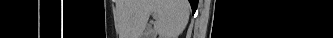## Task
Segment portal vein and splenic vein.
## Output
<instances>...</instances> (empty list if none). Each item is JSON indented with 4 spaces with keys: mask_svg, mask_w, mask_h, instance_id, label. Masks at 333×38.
Segmentation results:
<instances>
[{
    "mask_svg": "<svg viewBox=\"0 0 333 38\" xmlns=\"http://www.w3.org/2000/svg\"><path fill=\"white\" fill-rule=\"evenodd\" d=\"M155 16H156V15H155V14H153V17H154V18H155Z\"/></svg>",
    "mask_w": 333,
    "mask_h": 38,
    "instance_id": "18ae733b",
    "label": "portal vein and splenic vein"
}]
</instances>
